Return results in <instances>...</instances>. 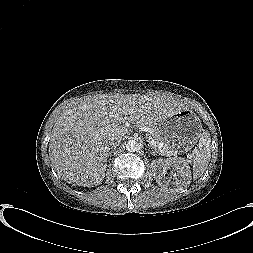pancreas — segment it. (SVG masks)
Masks as SVG:
<instances>
[{"label": "pancreas", "instance_id": "cf45deb5", "mask_svg": "<svg viewBox=\"0 0 253 253\" xmlns=\"http://www.w3.org/2000/svg\"><path fill=\"white\" fill-rule=\"evenodd\" d=\"M142 126V125H140ZM148 128L149 133L151 134L153 140L156 142L157 145L161 144L160 148H155L156 152L163 155V156H171L174 153L172 150L163 140L162 136L160 135L159 131L153 125H145Z\"/></svg>", "mask_w": 253, "mask_h": 253}]
</instances>
